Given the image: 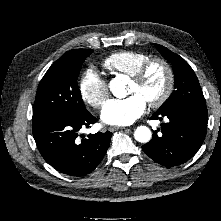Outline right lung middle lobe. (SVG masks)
Wrapping results in <instances>:
<instances>
[{"mask_svg":"<svg viewBox=\"0 0 221 221\" xmlns=\"http://www.w3.org/2000/svg\"><path fill=\"white\" fill-rule=\"evenodd\" d=\"M91 49L66 52L54 62L39 83L33 106V123L87 111L77 79Z\"/></svg>","mask_w":221,"mask_h":221,"instance_id":"obj_1","label":"right lung middle lobe"}]
</instances>
